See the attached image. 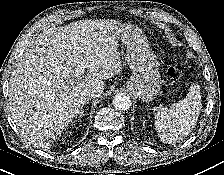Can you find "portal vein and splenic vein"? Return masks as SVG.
<instances>
[{"label": "portal vein and splenic vein", "instance_id": "obj_1", "mask_svg": "<svg viewBox=\"0 0 224 175\" xmlns=\"http://www.w3.org/2000/svg\"><path fill=\"white\" fill-rule=\"evenodd\" d=\"M84 73V69L83 68H80V70L78 71V74L77 75H82Z\"/></svg>", "mask_w": 224, "mask_h": 175}]
</instances>
